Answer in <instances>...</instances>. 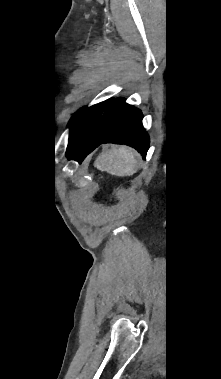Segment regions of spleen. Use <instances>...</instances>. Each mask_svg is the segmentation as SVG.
I'll list each match as a JSON object with an SVG mask.
<instances>
[{
    "instance_id": "3e777b00",
    "label": "spleen",
    "mask_w": 221,
    "mask_h": 379,
    "mask_svg": "<svg viewBox=\"0 0 221 379\" xmlns=\"http://www.w3.org/2000/svg\"><path fill=\"white\" fill-rule=\"evenodd\" d=\"M95 167L115 176H130L137 169V153L126 146H113L96 159Z\"/></svg>"
}]
</instances>
